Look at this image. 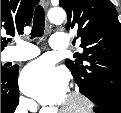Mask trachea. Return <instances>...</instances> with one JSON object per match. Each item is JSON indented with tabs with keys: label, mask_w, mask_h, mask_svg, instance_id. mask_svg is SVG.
<instances>
[{
	"label": "trachea",
	"mask_w": 121,
	"mask_h": 113,
	"mask_svg": "<svg viewBox=\"0 0 121 113\" xmlns=\"http://www.w3.org/2000/svg\"><path fill=\"white\" fill-rule=\"evenodd\" d=\"M45 26V13L41 5L35 9L31 38L42 37Z\"/></svg>",
	"instance_id": "3493384b"
}]
</instances>
